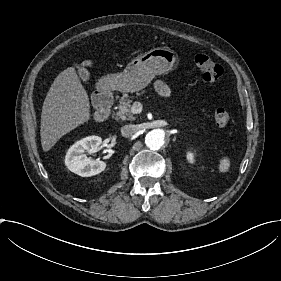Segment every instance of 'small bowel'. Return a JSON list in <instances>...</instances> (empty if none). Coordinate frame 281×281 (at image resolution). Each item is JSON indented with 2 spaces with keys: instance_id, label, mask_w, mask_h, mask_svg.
Listing matches in <instances>:
<instances>
[{
  "instance_id": "1",
  "label": "small bowel",
  "mask_w": 281,
  "mask_h": 281,
  "mask_svg": "<svg viewBox=\"0 0 281 281\" xmlns=\"http://www.w3.org/2000/svg\"><path fill=\"white\" fill-rule=\"evenodd\" d=\"M155 88H156L157 92L164 97H168L171 95V91H170L168 85L161 80H157L155 82Z\"/></svg>"
}]
</instances>
